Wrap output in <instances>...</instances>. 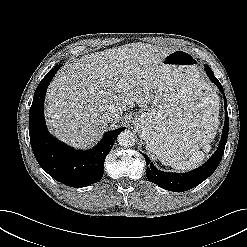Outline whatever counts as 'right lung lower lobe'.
<instances>
[{
    "mask_svg": "<svg viewBox=\"0 0 247 247\" xmlns=\"http://www.w3.org/2000/svg\"><path fill=\"white\" fill-rule=\"evenodd\" d=\"M61 65L51 69L39 83L29 113V134L33 153L45 172L71 187L100 181L104 161L125 127L107 132L100 143L87 151L75 150L54 138L46 129L43 105L46 89Z\"/></svg>",
    "mask_w": 247,
    "mask_h": 247,
    "instance_id": "right-lung-lower-lobe-1",
    "label": "right lung lower lobe"
}]
</instances>
